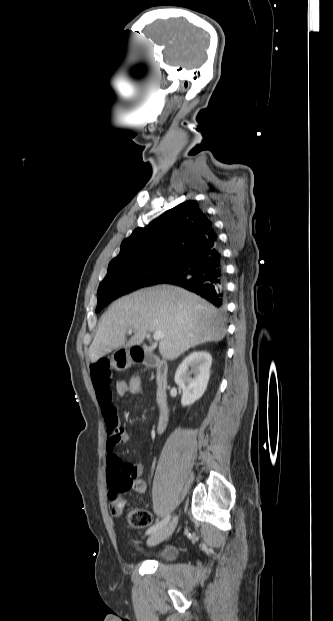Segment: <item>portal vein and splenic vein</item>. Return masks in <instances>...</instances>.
Wrapping results in <instances>:
<instances>
[{"instance_id": "portal-vein-and-splenic-vein-1", "label": "portal vein and splenic vein", "mask_w": 333, "mask_h": 621, "mask_svg": "<svg viewBox=\"0 0 333 621\" xmlns=\"http://www.w3.org/2000/svg\"><path fill=\"white\" fill-rule=\"evenodd\" d=\"M128 332H129V333H132V332H133V329H131V328H130V329L128 330ZM153 338H154V340H155V341H158V340H160V339L164 338V333H163L162 331H160V330H159V331H156V332H154V334H153Z\"/></svg>"}]
</instances>
